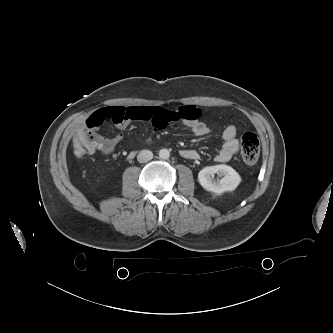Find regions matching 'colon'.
<instances>
[{"instance_id":"5ec220e1","label":"colon","mask_w":333,"mask_h":333,"mask_svg":"<svg viewBox=\"0 0 333 333\" xmlns=\"http://www.w3.org/2000/svg\"><path fill=\"white\" fill-rule=\"evenodd\" d=\"M73 149L76 156H83L86 153L84 143L79 138L73 140ZM241 155L247 164L257 162L260 155V141L253 132H245L241 138Z\"/></svg>"}]
</instances>
